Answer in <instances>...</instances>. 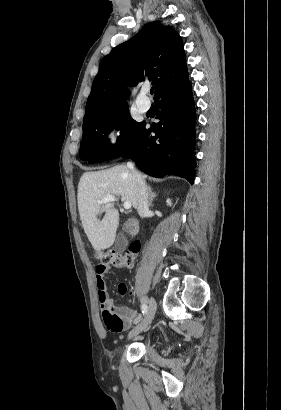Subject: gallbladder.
Segmentation results:
<instances>
[{
    "label": "gallbladder",
    "instance_id": "bac80fb5",
    "mask_svg": "<svg viewBox=\"0 0 281 410\" xmlns=\"http://www.w3.org/2000/svg\"><path fill=\"white\" fill-rule=\"evenodd\" d=\"M127 246V240L121 235L116 243V249L118 252H123Z\"/></svg>",
    "mask_w": 281,
    "mask_h": 410
}]
</instances>
